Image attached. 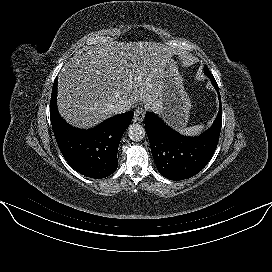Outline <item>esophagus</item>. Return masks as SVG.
<instances>
[{
    "label": "esophagus",
    "mask_w": 272,
    "mask_h": 272,
    "mask_svg": "<svg viewBox=\"0 0 272 272\" xmlns=\"http://www.w3.org/2000/svg\"><path fill=\"white\" fill-rule=\"evenodd\" d=\"M144 117H145L144 107H138L134 113V121L141 122V121H143Z\"/></svg>",
    "instance_id": "obj_1"
}]
</instances>
